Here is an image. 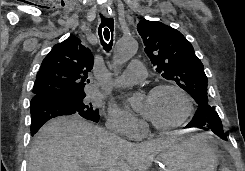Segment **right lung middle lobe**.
Segmentation results:
<instances>
[{
	"mask_svg": "<svg viewBox=\"0 0 245 171\" xmlns=\"http://www.w3.org/2000/svg\"><path fill=\"white\" fill-rule=\"evenodd\" d=\"M86 94L77 95V96H68V95H57L54 98L59 100L60 102L68 105L79 114L86 118L90 119H99V110L94 109L92 104H87L84 102Z\"/></svg>",
	"mask_w": 245,
	"mask_h": 171,
	"instance_id": "obj_1",
	"label": "right lung middle lobe"
}]
</instances>
